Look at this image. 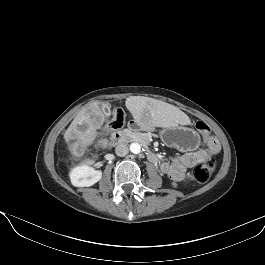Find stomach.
<instances>
[{"label":"stomach","mask_w":265,"mask_h":265,"mask_svg":"<svg viewBox=\"0 0 265 265\" xmlns=\"http://www.w3.org/2000/svg\"><path fill=\"white\" fill-rule=\"evenodd\" d=\"M152 130L153 128H149ZM161 140L168 146L180 151L197 149L200 143L199 134L191 128L183 126L166 127L160 131Z\"/></svg>","instance_id":"obj_1"}]
</instances>
